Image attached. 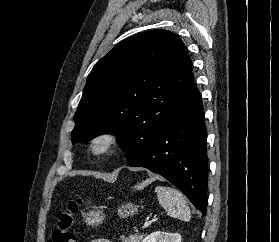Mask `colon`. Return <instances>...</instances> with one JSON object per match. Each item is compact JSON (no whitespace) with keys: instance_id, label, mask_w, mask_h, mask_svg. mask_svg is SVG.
Returning a JSON list of instances; mask_svg holds the SVG:
<instances>
[{"instance_id":"5ec220e1","label":"colon","mask_w":279,"mask_h":242,"mask_svg":"<svg viewBox=\"0 0 279 242\" xmlns=\"http://www.w3.org/2000/svg\"><path fill=\"white\" fill-rule=\"evenodd\" d=\"M84 204L82 199L71 200L65 209L58 212L57 224L53 230L51 242H75L73 226L75 217Z\"/></svg>"}]
</instances>
